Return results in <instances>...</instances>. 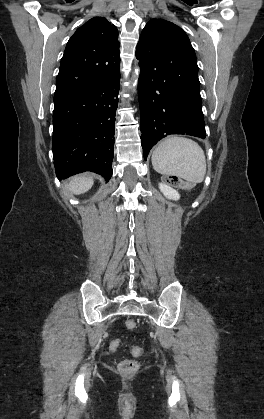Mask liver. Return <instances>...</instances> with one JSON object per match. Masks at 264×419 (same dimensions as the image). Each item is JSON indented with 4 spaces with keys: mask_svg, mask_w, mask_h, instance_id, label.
Here are the masks:
<instances>
[{
    "mask_svg": "<svg viewBox=\"0 0 264 419\" xmlns=\"http://www.w3.org/2000/svg\"><path fill=\"white\" fill-rule=\"evenodd\" d=\"M94 184L90 176H75L69 183V189L76 195L87 192Z\"/></svg>",
    "mask_w": 264,
    "mask_h": 419,
    "instance_id": "obj_1",
    "label": "liver"
}]
</instances>
